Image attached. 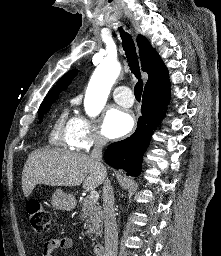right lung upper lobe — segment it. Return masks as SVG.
Returning a JSON list of instances; mask_svg holds the SVG:
<instances>
[{"label":"right lung upper lobe","instance_id":"right-lung-upper-lobe-1","mask_svg":"<svg viewBox=\"0 0 221 256\" xmlns=\"http://www.w3.org/2000/svg\"><path fill=\"white\" fill-rule=\"evenodd\" d=\"M137 44L139 47L142 70L149 75L144 92L159 91L169 88L170 82L167 68L164 66L163 61L156 53L155 49L142 35L137 37ZM77 72V69H73L60 78L45 99L51 96L58 97L59 93L71 83L72 79L77 75Z\"/></svg>","mask_w":221,"mask_h":256}]
</instances>
